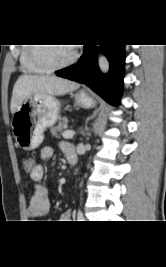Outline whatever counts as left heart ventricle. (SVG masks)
<instances>
[{
	"label": "left heart ventricle",
	"instance_id": "left-heart-ventricle-1",
	"mask_svg": "<svg viewBox=\"0 0 166 267\" xmlns=\"http://www.w3.org/2000/svg\"><path fill=\"white\" fill-rule=\"evenodd\" d=\"M70 46H43L40 48L41 56L51 64L66 62L73 53Z\"/></svg>",
	"mask_w": 166,
	"mask_h": 267
}]
</instances>
